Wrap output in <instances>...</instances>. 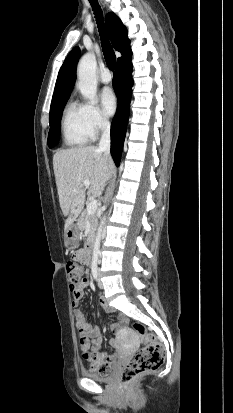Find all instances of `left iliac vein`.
<instances>
[{"instance_id": "4c4485c4", "label": "left iliac vein", "mask_w": 233, "mask_h": 413, "mask_svg": "<svg viewBox=\"0 0 233 413\" xmlns=\"http://www.w3.org/2000/svg\"><path fill=\"white\" fill-rule=\"evenodd\" d=\"M100 278H101V271L98 270V286H99V288L102 289V288H103V284H102Z\"/></svg>"}]
</instances>
